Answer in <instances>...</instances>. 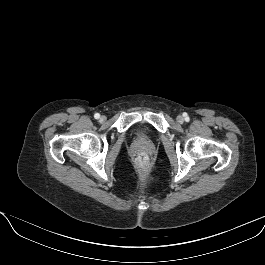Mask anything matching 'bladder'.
<instances>
[{"label": "bladder", "mask_w": 265, "mask_h": 265, "mask_svg": "<svg viewBox=\"0 0 265 265\" xmlns=\"http://www.w3.org/2000/svg\"><path fill=\"white\" fill-rule=\"evenodd\" d=\"M134 135L137 139L140 140H145L149 138L147 130L143 127L135 129Z\"/></svg>", "instance_id": "bladder-1"}]
</instances>
